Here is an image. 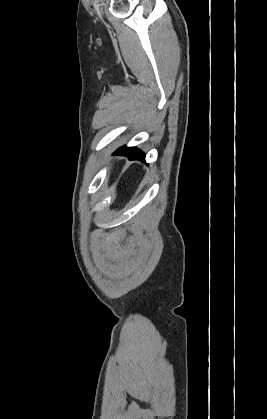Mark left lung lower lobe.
<instances>
[{"mask_svg": "<svg viewBox=\"0 0 267 419\" xmlns=\"http://www.w3.org/2000/svg\"><path fill=\"white\" fill-rule=\"evenodd\" d=\"M116 153L127 156L129 158V160L144 161V159H145V154L142 151H140V150H138L134 147H130V148L122 147Z\"/></svg>", "mask_w": 267, "mask_h": 419, "instance_id": "1", "label": "left lung lower lobe"}]
</instances>
